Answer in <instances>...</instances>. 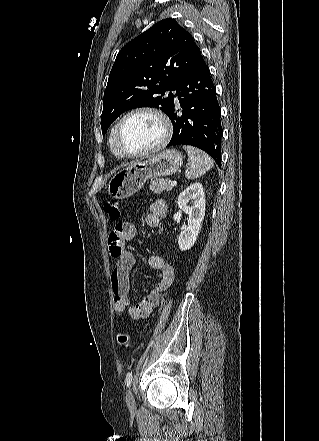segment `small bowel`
Returning a JSON list of instances; mask_svg holds the SVG:
<instances>
[{
  "label": "small bowel",
  "mask_w": 319,
  "mask_h": 441,
  "mask_svg": "<svg viewBox=\"0 0 319 441\" xmlns=\"http://www.w3.org/2000/svg\"><path fill=\"white\" fill-rule=\"evenodd\" d=\"M167 205L164 200L153 202L145 217L149 227L156 228L165 216ZM136 236V228L132 223L123 222L115 226L109 237V252L117 259L111 274V289L114 300V311L122 314L126 310L133 319H144L151 315L157 307L162 292L168 289L173 281V269L160 255H152L148 259L150 268L158 272V283L149 293L134 305H130V273L135 265L136 256L127 248V243Z\"/></svg>",
  "instance_id": "c3829d8e"
}]
</instances>
